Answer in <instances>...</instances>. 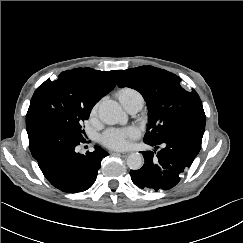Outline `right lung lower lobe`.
<instances>
[{"mask_svg": "<svg viewBox=\"0 0 243 243\" xmlns=\"http://www.w3.org/2000/svg\"><path fill=\"white\" fill-rule=\"evenodd\" d=\"M29 148L46 179L57 189L77 193L96 180L102 159L108 155L100 146L80 154L76 147L86 143L63 125L47 118L26 120Z\"/></svg>", "mask_w": 243, "mask_h": 243, "instance_id": "98d812e1", "label": "right lung lower lobe"}]
</instances>
